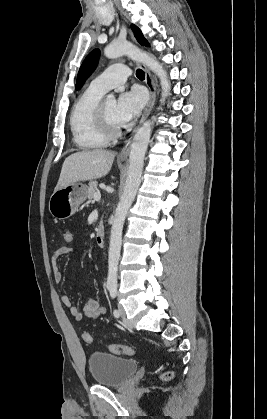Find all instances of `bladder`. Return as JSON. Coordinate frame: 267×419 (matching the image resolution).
Wrapping results in <instances>:
<instances>
[{"label":"bladder","instance_id":"31cf9c89","mask_svg":"<svg viewBox=\"0 0 267 419\" xmlns=\"http://www.w3.org/2000/svg\"><path fill=\"white\" fill-rule=\"evenodd\" d=\"M88 367L95 384L119 387L135 374L138 363L133 359L97 351L90 354Z\"/></svg>","mask_w":267,"mask_h":419}]
</instances>
